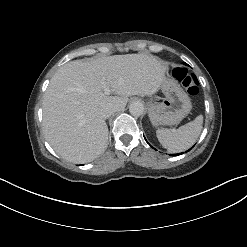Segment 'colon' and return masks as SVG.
<instances>
[{"label":"colon","mask_w":247,"mask_h":247,"mask_svg":"<svg viewBox=\"0 0 247 247\" xmlns=\"http://www.w3.org/2000/svg\"><path fill=\"white\" fill-rule=\"evenodd\" d=\"M173 75L190 96L198 95L199 81L194 74L184 68H175Z\"/></svg>","instance_id":"colon-1"}]
</instances>
